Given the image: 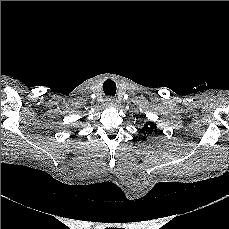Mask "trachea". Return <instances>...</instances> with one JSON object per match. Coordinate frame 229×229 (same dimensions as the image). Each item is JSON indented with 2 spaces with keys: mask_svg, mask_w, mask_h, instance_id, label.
Instances as JSON below:
<instances>
[{
  "mask_svg": "<svg viewBox=\"0 0 229 229\" xmlns=\"http://www.w3.org/2000/svg\"><path fill=\"white\" fill-rule=\"evenodd\" d=\"M103 91L107 96H115L116 94V84L111 79H108L103 84Z\"/></svg>",
  "mask_w": 229,
  "mask_h": 229,
  "instance_id": "obj_1",
  "label": "trachea"
}]
</instances>
